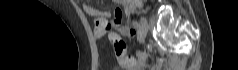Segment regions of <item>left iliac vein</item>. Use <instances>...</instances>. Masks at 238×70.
<instances>
[{"mask_svg":"<svg viewBox=\"0 0 238 70\" xmlns=\"http://www.w3.org/2000/svg\"><path fill=\"white\" fill-rule=\"evenodd\" d=\"M149 29L148 21L145 17H141L140 27H139V37L145 38Z\"/></svg>","mask_w":238,"mask_h":70,"instance_id":"left-iliac-vein-1","label":"left iliac vein"}]
</instances>
